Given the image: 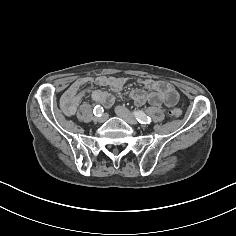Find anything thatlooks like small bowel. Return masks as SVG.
Here are the masks:
<instances>
[{
  "label": "small bowel",
  "instance_id": "obj_1",
  "mask_svg": "<svg viewBox=\"0 0 236 236\" xmlns=\"http://www.w3.org/2000/svg\"><path fill=\"white\" fill-rule=\"evenodd\" d=\"M88 81H92L99 86L109 87L111 92L97 88L90 90L82 89L83 85ZM126 83V78L115 76H98L91 80L78 79L63 93L61 97L62 108L66 114L72 115L86 91L90 92L92 99L96 103L100 104L104 108H110L115 99L121 94ZM140 84L142 86L141 88H136L130 92L131 98L139 106L149 103L153 106L165 104L166 106L171 107L178 101L177 91L168 82L145 79L141 80Z\"/></svg>",
  "mask_w": 236,
  "mask_h": 236
}]
</instances>
